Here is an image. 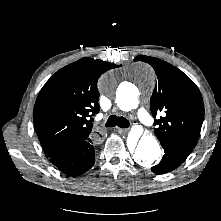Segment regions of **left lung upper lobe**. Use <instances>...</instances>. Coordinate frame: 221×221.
<instances>
[{"instance_id": "left-lung-upper-lobe-1", "label": "left lung upper lobe", "mask_w": 221, "mask_h": 221, "mask_svg": "<svg viewBox=\"0 0 221 221\" xmlns=\"http://www.w3.org/2000/svg\"><path fill=\"white\" fill-rule=\"evenodd\" d=\"M149 63L157 73V84L151 96L150 109L155 120V134L162 144L192 151L199 139L204 119L201 93L181 70L158 58L137 56L134 61Z\"/></svg>"}]
</instances>
